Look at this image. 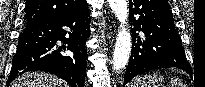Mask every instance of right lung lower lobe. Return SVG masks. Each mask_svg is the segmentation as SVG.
I'll list each match as a JSON object with an SVG mask.
<instances>
[{"label": "right lung lower lobe", "mask_w": 205, "mask_h": 87, "mask_svg": "<svg viewBox=\"0 0 205 87\" xmlns=\"http://www.w3.org/2000/svg\"><path fill=\"white\" fill-rule=\"evenodd\" d=\"M89 15L85 4L63 16L26 25L12 60L7 86L24 72L40 70L62 78L72 87H84ZM65 26L70 31L63 29ZM58 41L66 46L58 47ZM64 50L73 54L66 55Z\"/></svg>", "instance_id": "obj_1"}]
</instances>
